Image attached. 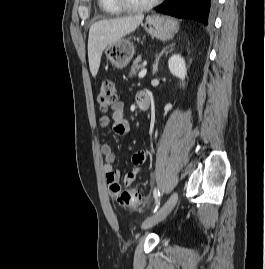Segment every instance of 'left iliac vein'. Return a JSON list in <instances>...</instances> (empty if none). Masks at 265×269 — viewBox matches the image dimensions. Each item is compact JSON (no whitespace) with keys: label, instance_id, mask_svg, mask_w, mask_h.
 <instances>
[{"label":"left iliac vein","instance_id":"left-iliac-vein-1","mask_svg":"<svg viewBox=\"0 0 265 269\" xmlns=\"http://www.w3.org/2000/svg\"><path fill=\"white\" fill-rule=\"evenodd\" d=\"M177 201H178V194L174 192L166 201V203L151 218H149L142 224V228L143 229L151 228L154 225L161 222L162 220H164L172 211V209L175 207Z\"/></svg>","mask_w":265,"mask_h":269}]
</instances>
